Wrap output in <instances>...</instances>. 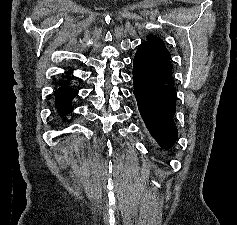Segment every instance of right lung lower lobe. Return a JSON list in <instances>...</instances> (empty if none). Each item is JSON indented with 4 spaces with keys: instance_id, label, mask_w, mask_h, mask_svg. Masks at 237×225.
I'll list each match as a JSON object with an SVG mask.
<instances>
[{
    "instance_id": "obj_1",
    "label": "right lung lower lobe",
    "mask_w": 237,
    "mask_h": 225,
    "mask_svg": "<svg viewBox=\"0 0 237 225\" xmlns=\"http://www.w3.org/2000/svg\"><path fill=\"white\" fill-rule=\"evenodd\" d=\"M68 85L69 84H64V86L59 87L55 91V106L58 113L62 116L70 113L73 110L71 106V100L78 94L77 90L69 87Z\"/></svg>"
}]
</instances>
